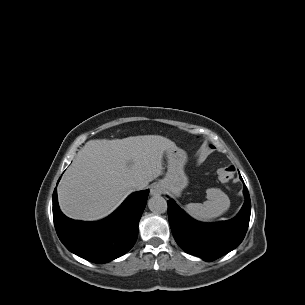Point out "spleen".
<instances>
[{
	"mask_svg": "<svg viewBox=\"0 0 305 305\" xmlns=\"http://www.w3.org/2000/svg\"><path fill=\"white\" fill-rule=\"evenodd\" d=\"M207 201L202 203H189L184 210L192 218L207 222L222 215L230 206L227 195L220 189L209 188L206 191Z\"/></svg>",
	"mask_w": 305,
	"mask_h": 305,
	"instance_id": "spleen-1",
	"label": "spleen"
}]
</instances>
